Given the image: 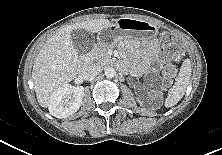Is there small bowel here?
Instances as JSON below:
<instances>
[{"label": "small bowel", "instance_id": "c3829d8e", "mask_svg": "<svg viewBox=\"0 0 222 155\" xmlns=\"http://www.w3.org/2000/svg\"><path fill=\"white\" fill-rule=\"evenodd\" d=\"M147 62L146 64L152 68L157 66V54H158V44L156 41H151L146 47Z\"/></svg>", "mask_w": 222, "mask_h": 155}]
</instances>
